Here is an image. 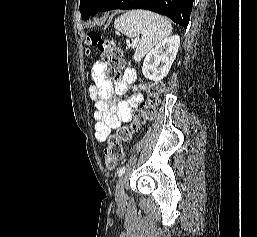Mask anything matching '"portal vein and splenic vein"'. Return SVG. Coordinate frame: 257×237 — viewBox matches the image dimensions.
<instances>
[{"instance_id": "obj_1", "label": "portal vein and splenic vein", "mask_w": 257, "mask_h": 237, "mask_svg": "<svg viewBox=\"0 0 257 237\" xmlns=\"http://www.w3.org/2000/svg\"><path fill=\"white\" fill-rule=\"evenodd\" d=\"M137 42H138V40L137 39H135L133 42H132V47H135L136 45H137Z\"/></svg>"}]
</instances>
